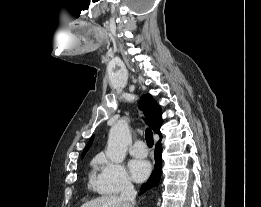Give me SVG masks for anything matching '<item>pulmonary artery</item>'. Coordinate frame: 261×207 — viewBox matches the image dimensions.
I'll return each mask as SVG.
<instances>
[{"label": "pulmonary artery", "mask_w": 261, "mask_h": 207, "mask_svg": "<svg viewBox=\"0 0 261 207\" xmlns=\"http://www.w3.org/2000/svg\"><path fill=\"white\" fill-rule=\"evenodd\" d=\"M130 154L134 157L143 158L147 156V148L142 140H137L134 142L130 148Z\"/></svg>", "instance_id": "1"}]
</instances>
